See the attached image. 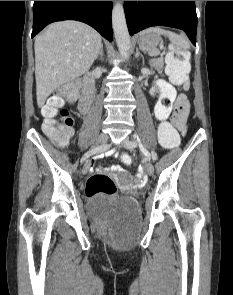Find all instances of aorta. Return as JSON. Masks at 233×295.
Segmentation results:
<instances>
[{
	"mask_svg": "<svg viewBox=\"0 0 233 295\" xmlns=\"http://www.w3.org/2000/svg\"><path fill=\"white\" fill-rule=\"evenodd\" d=\"M112 26L118 50L123 59L129 57L130 35L128 32L124 8L121 3L115 4L112 10Z\"/></svg>",
	"mask_w": 233,
	"mask_h": 295,
	"instance_id": "obj_1",
	"label": "aorta"
}]
</instances>
